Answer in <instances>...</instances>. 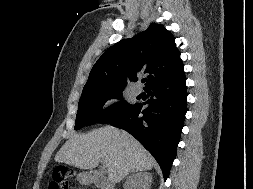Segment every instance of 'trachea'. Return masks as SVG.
<instances>
[{"label":"trachea","instance_id":"3493384b","mask_svg":"<svg viewBox=\"0 0 253 189\" xmlns=\"http://www.w3.org/2000/svg\"><path fill=\"white\" fill-rule=\"evenodd\" d=\"M147 81V79H142V82L144 83V82H146Z\"/></svg>","mask_w":253,"mask_h":189}]
</instances>
